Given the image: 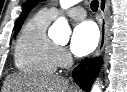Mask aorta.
<instances>
[{
	"instance_id": "1",
	"label": "aorta",
	"mask_w": 127,
	"mask_h": 92,
	"mask_svg": "<svg viewBox=\"0 0 127 92\" xmlns=\"http://www.w3.org/2000/svg\"><path fill=\"white\" fill-rule=\"evenodd\" d=\"M80 0H60V5L63 9H67ZM50 32L58 42H67L71 33L70 26L64 17L58 18L50 27ZM91 92H102L99 83H95Z\"/></svg>"
}]
</instances>
